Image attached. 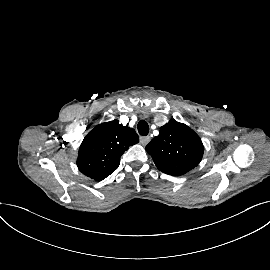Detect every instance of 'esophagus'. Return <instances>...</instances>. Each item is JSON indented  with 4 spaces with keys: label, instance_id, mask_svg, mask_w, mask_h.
<instances>
[{
    "label": "esophagus",
    "instance_id": "esophagus-1",
    "mask_svg": "<svg viewBox=\"0 0 270 270\" xmlns=\"http://www.w3.org/2000/svg\"><path fill=\"white\" fill-rule=\"evenodd\" d=\"M150 140H151L150 136H141L140 137V143L142 145H147Z\"/></svg>",
    "mask_w": 270,
    "mask_h": 270
}]
</instances>
